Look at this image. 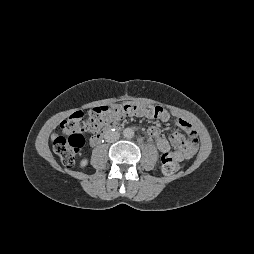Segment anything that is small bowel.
<instances>
[{
  "mask_svg": "<svg viewBox=\"0 0 254 254\" xmlns=\"http://www.w3.org/2000/svg\"><path fill=\"white\" fill-rule=\"evenodd\" d=\"M157 118L166 122L169 120L170 115L162 109L160 116ZM174 124L187 133L186 138L176 131L171 134L170 141H168L162 136L160 129L156 125H151L148 128V134L155 141L163 156L169 155L179 162L193 158L198 147L196 130L192 123L183 117H178ZM172 145L178 147V150H172Z\"/></svg>",
  "mask_w": 254,
  "mask_h": 254,
  "instance_id": "small-bowel-1",
  "label": "small bowel"
}]
</instances>
